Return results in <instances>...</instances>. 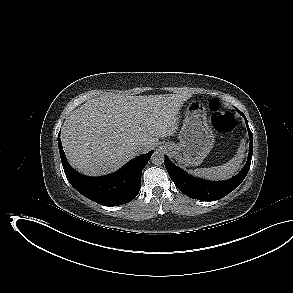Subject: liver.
I'll list each match as a JSON object with an SVG mask.
<instances>
[{
	"label": "liver",
	"mask_w": 293,
	"mask_h": 293,
	"mask_svg": "<svg viewBox=\"0 0 293 293\" xmlns=\"http://www.w3.org/2000/svg\"><path fill=\"white\" fill-rule=\"evenodd\" d=\"M191 95L106 94L88 100L62 127V145L70 165L90 176L118 170L154 148L159 138L175 134L180 109Z\"/></svg>",
	"instance_id": "6515ba94"
}]
</instances>
